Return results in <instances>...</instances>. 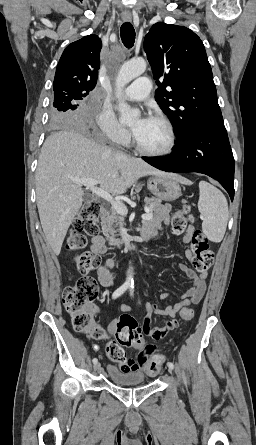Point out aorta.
Wrapping results in <instances>:
<instances>
[{"label": "aorta", "instance_id": "762f6f07", "mask_svg": "<svg viewBox=\"0 0 256 445\" xmlns=\"http://www.w3.org/2000/svg\"><path fill=\"white\" fill-rule=\"evenodd\" d=\"M146 66L147 64L145 60L138 59L125 62L119 70L116 79V97L118 99V111L120 113L119 120L121 123L130 124L140 114L139 110L132 109L124 100H122L121 94L128 83L145 72ZM126 282L131 284L134 282L132 267H129Z\"/></svg>", "mask_w": 256, "mask_h": 445}]
</instances>
